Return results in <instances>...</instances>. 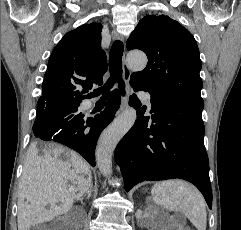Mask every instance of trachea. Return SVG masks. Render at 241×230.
Listing matches in <instances>:
<instances>
[{
  "instance_id": "3493384b",
  "label": "trachea",
  "mask_w": 241,
  "mask_h": 230,
  "mask_svg": "<svg viewBox=\"0 0 241 230\" xmlns=\"http://www.w3.org/2000/svg\"><path fill=\"white\" fill-rule=\"evenodd\" d=\"M123 43L119 40L115 41L111 47L109 54V67L111 76L108 81L100 88L96 89L90 94V96L102 97L99 102H104L110 92V89L115 83H118V87L122 94H125V83L122 79V55H123Z\"/></svg>"
}]
</instances>
